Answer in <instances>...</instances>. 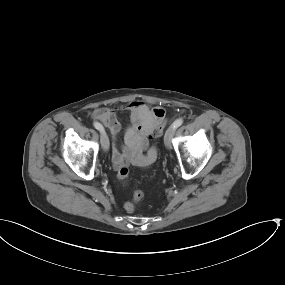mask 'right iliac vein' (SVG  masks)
Here are the masks:
<instances>
[{
	"instance_id": "1",
	"label": "right iliac vein",
	"mask_w": 285,
	"mask_h": 285,
	"mask_svg": "<svg viewBox=\"0 0 285 285\" xmlns=\"http://www.w3.org/2000/svg\"><path fill=\"white\" fill-rule=\"evenodd\" d=\"M100 140L103 150L107 151L109 149V138L104 130L101 131Z\"/></svg>"
}]
</instances>
